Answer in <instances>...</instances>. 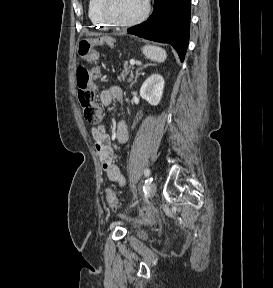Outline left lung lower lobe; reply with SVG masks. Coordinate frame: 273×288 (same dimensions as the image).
Instances as JSON below:
<instances>
[{"mask_svg": "<svg viewBox=\"0 0 273 288\" xmlns=\"http://www.w3.org/2000/svg\"><path fill=\"white\" fill-rule=\"evenodd\" d=\"M154 2V10L148 20L127 31L145 39L169 43L183 61L189 42L191 0Z\"/></svg>", "mask_w": 273, "mask_h": 288, "instance_id": "0a47b994", "label": "left lung lower lobe"}]
</instances>
